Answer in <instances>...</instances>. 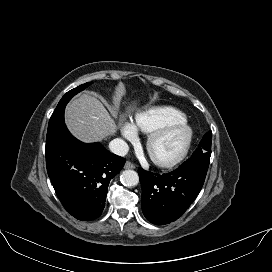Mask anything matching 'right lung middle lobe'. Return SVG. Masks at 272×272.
<instances>
[{
	"label": "right lung middle lobe",
	"mask_w": 272,
	"mask_h": 272,
	"mask_svg": "<svg viewBox=\"0 0 272 272\" xmlns=\"http://www.w3.org/2000/svg\"><path fill=\"white\" fill-rule=\"evenodd\" d=\"M91 83H85L82 84L69 92H67L62 99L59 101L55 111L53 112L49 125H48V131H47V137L46 141L51 139L53 136H55L57 133H59L63 127L65 126L64 123V109L68 101L77 93L84 90L86 87H88Z\"/></svg>",
	"instance_id": "right-lung-middle-lobe-1"
}]
</instances>
